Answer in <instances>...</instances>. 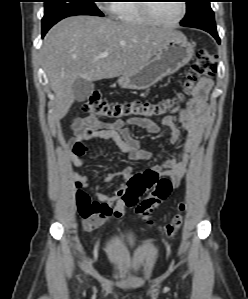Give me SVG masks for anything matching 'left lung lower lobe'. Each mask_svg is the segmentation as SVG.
Listing matches in <instances>:
<instances>
[{"label": "left lung lower lobe", "mask_w": 248, "mask_h": 299, "mask_svg": "<svg viewBox=\"0 0 248 299\" xmlns=\"http://www.w3.org/2000/svg\"><path fill=\"white\" fill-rule=\"evenodd\" d=\"M202 30H205L208 33H210L217 40V42L220 43V38L217 34L216 27H205Z\"/></svg>", "instance_id": "obj_1"}]
</instances>
